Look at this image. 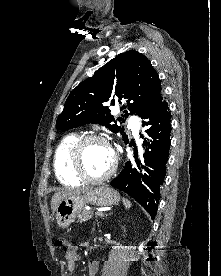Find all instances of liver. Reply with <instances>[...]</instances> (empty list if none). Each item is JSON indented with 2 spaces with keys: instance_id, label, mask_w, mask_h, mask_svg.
<instances>
[{
  "instance_id": "1",
  "label": "liver",
  "mask_w": 221,
  "mask_h": 276,
  "mask_svg": "<svg viewBox=\"0 0 221 276\" xmlns=\"http://www.w3.org/2000/svg\"><path fill=\"white\" fill-rule=\"evenodd\" d=\"M88 189H65L59 192H56L51 200V209L53 212L56 211L58 204L65 198L73 195H79L81 193L87 192Z\"/></svg>"
}]
</instances>
